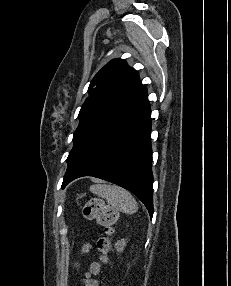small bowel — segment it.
Masks as SVG:
<instances>
[{
    "label": "small bowel",
    "instance_id": "obj_1",
    "mask_svg": "<svg viewBox=\"0 0 231 286\" xmlns=\"http://www.w3.org/2000/svg\"><path fill=\"white\" fill-rule=\"evenodd\" d=\"M91 244L87 243L83 245L81 252L83 254L89 252L91 250ZM77 269H79V265H75ZM100 271V265L98 262H92L88 271L85 273V285L86 286H98L97 282L92 278V276L97 275Z\"/></svg>",
    "mask_w": 231,
    "mask_h": 286
}]
</instances>
